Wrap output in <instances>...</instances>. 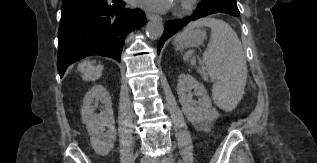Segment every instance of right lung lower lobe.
<instances>
[{"label": "right lung lower lobe", "instance_id": "98d812e1", "mask_svg": "<svg viewBox=\"0 0 317 163\" xmlns=\"http://www.w3.org/2000/svg\"><path fill=\"white\" fill-rule=\"evenodd\" d=\"M121 0H76L62 5L58 32L57 68L67 67L90 55L120 61L126 35L146 22L140 9L124 10Z\"/></svg>", "mask_w": 317, "mask_h": 163}]
</instances>
